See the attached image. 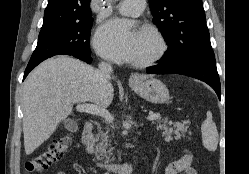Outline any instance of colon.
Masks as SVG:
<instances>
[{
  "label": "colon",
  "mask_w": 249,
  "mask_h": 174,
  "mask_svg": "<svg viewBox=\"0 0 249 174\" xmlns=\"http://www.w3.org/2000/svg\"><path fill=\"white\" fill-rule=\"evenodd\" d=\"M72 144V133L67 132L62 134L51 145L35 154L26 163L27 173L34 174L46 170L52 163L60 159L69 150Z\"/></svg>",
  "instance_id": "colon-1"
}]
</instances>
